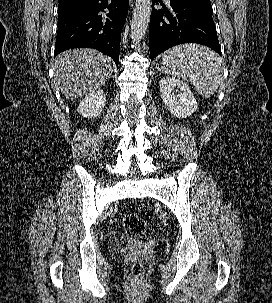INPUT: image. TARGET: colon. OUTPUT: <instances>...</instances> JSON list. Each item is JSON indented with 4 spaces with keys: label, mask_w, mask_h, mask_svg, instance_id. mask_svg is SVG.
Listing matches in <instances>:
<instances>
[{
    "label": "colon",
    "mask_w": 272,
    "mask_h": 303,
    "mask_svg": "<svg viewBox=\"0 0 272 303\" xmlns=\"http://www.w3.org/2000/svg\"><path fill=\"white\" fill-rule=\"evenodd\" d=\"M122 226L131 237L141 236L146 228L144 219L137 213L129 212L126 213L122 219ZM143 272V266L140 262H135L131 268V274L134 278L139 279Z\"/></svg>",
    "instance_id": "5ec220e1"
}]
</instances>
